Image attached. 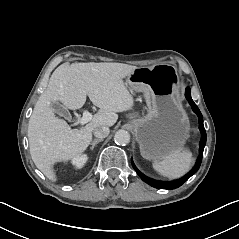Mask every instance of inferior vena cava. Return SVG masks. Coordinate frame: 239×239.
Returning <instances> with one entry per match:
<instances>
[{"mask_svg":"<svg viewBox=\"0 0 239 239\" xmlns=\"http://www.w3.org/2000/svg\"><path fill=\"white\" fill-rule=\"evenodd\" d=\"M109 132L108 126H99L94 129V136L97 138H105L109 135Z\"/></svg>","mask_w":239,"mask_h":239,"instance_id":"inferior-vena-cava-1","label":"inferior vena cava"}]
</instances>
